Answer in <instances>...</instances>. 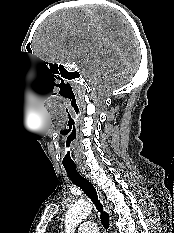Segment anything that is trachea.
<instances>
[{
  "mask_svg": "<svg viewBox=\"0 0 174 233\" xmlns=\"http://www.w3.org/2000/svg\"><path fill=\"white\" fill-rule=\"evenodd\" d=\"M69 179L78 187H80L86 196L91 199L95 205L97 211L100 213V219L103 227L108 229L109 227V215L103 209V205L98 199L97 192L91 182L82 176L76 169V167H64Z\"/></svg>",
  "mask_w": 174,
  "mask_h": 233,
  "instance_id": "trachea-1",
  "label": "trachea"
}]
</instances>
